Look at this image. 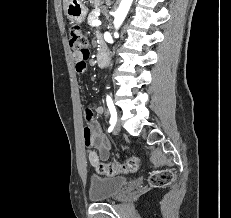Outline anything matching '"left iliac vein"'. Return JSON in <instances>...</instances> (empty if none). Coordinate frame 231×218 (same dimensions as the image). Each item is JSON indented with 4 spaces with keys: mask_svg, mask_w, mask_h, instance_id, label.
Wrapping results in <instances>:
<instances>
[{
    "mask_svg": "<svg viewBox=\"0 0 231 218\" xmlns=\"http://www.w3.org/2000/svg\"><path fill=\"white\" fill-rule=\"evenodd\" d=\"M121 130V121L120 119L117 120V122L115 123L114 127H113V132L115 134L119 133Z\"/></svg>",
    "mask_w": 231,
    "mask_h": 218,
    "instance_id": "left-iliac-vein-1",
    "label": "left iliac vein"
}]
</instances>
